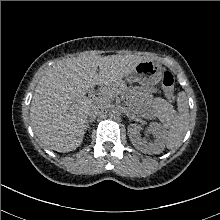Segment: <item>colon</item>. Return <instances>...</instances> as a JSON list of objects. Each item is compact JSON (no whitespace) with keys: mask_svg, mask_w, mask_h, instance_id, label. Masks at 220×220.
<instances>
[{"mask_svg":"<svg viewBox=\"0 0 220 220\" xmlns=\"http://www.w3.org/2000/svg\"><path fill=\"white\" fill-rule=\"evenodd\" d=\"M162 86L165 91L167 98L171 101H174V86L175 79L174 76L170 72H165L162 76Z\"/></svg>","mask_w":220,"mask_h":220,"instance_id":"1","label":"colon"}]
</instances>
